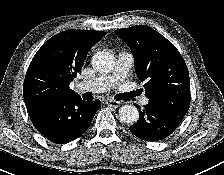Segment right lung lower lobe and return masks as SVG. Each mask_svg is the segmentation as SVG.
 <instances>
[{"mask_svg":"<svg viewBox=\"0 0 224 175\" xmlns=\"http://www.w3.org/2000/svg\"><path fill=\"white\" fill-rule=\"evenodd\" d=\"M100 106V100L88 102L79 95L45 99L26 105L34 127L57 144H65L81 136Z\"/></svg>","mask_w":224,"mask_h":175,"instance_id":"obj_1","label":"right lung lower lobe"}]
</instances>
